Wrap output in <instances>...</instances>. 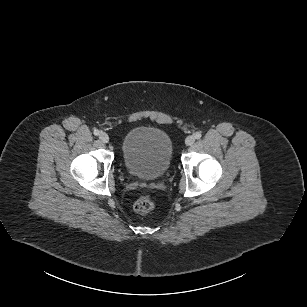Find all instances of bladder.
Masks as SVG:
<instances>
[{"label":"bladder","instance_id":"bladder-1","mask_svg":"<svg viewBox=\"0 0 307 307\" xmlns=\"http://www.w3.org/2000/svg\"><path fill=\"white\" fill-rule=\"evenodd\" d=\"M121 152L129 174L139 179L155 180L169 169L173 146L165 131L141 126L131 129L125 135Z\"/></svg>","mask_w":307,"mask_h":307}]
</instances>
